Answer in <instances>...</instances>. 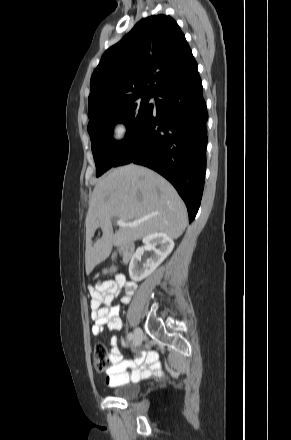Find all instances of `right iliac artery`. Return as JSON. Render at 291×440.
Instances as JSON below:
<instances>
[{"instance_id": "obj_1", "label": "right iliac artery", "mask_w": 291, "mask_h": 440, "mask_svg": "<svg viewBox=\"0 0 291 440\" xmlns=\"http://www.w3.org/2000/svg\"><path fill=\"white\" fill-rule=\"evenodd\" d=\"M133 337H134V335H133L132 333H129V334H128V339H129V340H132Z\"/></svg>"}]
</instances>
